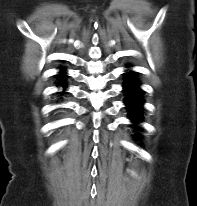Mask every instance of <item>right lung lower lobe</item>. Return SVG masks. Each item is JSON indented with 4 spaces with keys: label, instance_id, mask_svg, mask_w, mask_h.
<instances>
[{
    "label": "right lung lower lobe",
    "instance_id": "right-lung-lower-lobe-1",
    "mask_svg": "<svg viewBox=\"0 0 197 206\" xmlns=\"http://www.w3.org/2000/svg\"><path fill=\"white\" fill-rule=\"evenodd\" d=\"M57 78L59 79L57 86L64 87V90H65V88H66L65 79L67 78L65 71L61 70V74L57 75ZM64 90L62 92H60V94H64L65 93Z\"/></svg>",
    "mask_w": 197,
    "mask_h": 206
}]
</instances>
